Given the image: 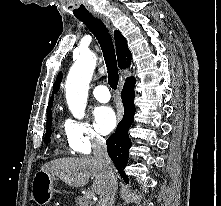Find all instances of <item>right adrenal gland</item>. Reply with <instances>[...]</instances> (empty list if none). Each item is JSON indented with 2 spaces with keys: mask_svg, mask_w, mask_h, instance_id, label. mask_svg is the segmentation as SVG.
Returning a JSON list of instances; mask_svg holds the SVG:
<instances>
[{
  "mask_svg": "<svg viewBox=\"0 0 221 206\" xmlns=\"http://www.w3.org/2000/svg\"><path fill=\"white\" fill-rule=\"evenodd\" d=\"M114 202H115V199H113L111 206H113Z\"/></svg>",
  "mask_w": 221,
  "mask_h": 206,
  "instance_id": "obj_1",
  "label": "right adrenal gland"
}]
</instances>
